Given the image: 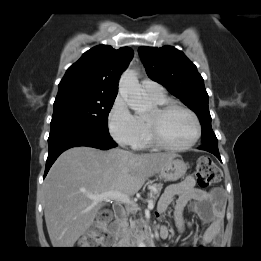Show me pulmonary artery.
<instances>
[{"label":"pulmonary artery","mask_w":261,"mask_h":261,"mask_svg":"<svg viewBox=\"0 0 261 261\" xmlns=\"http://www.w3.org/2000/svg\"><path fill=\"white\" fill-rule=\"evenodd\" d=\"M141 86L145 93L149 96L159 97L164 95V89L161 84L150 79H143Z\"/></svg>","instance_id":"pulmonary-artery-1"}]
</instances>
